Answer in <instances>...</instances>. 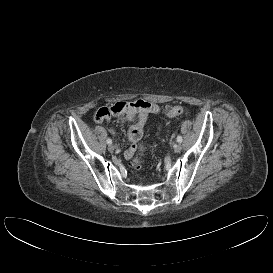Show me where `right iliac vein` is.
<instances>
[{"label":"right iliac vein","mask_w":273,"mask_h":273,"mask_svg":"<svg viewBox=\"0 0 273 273\" xmlns=\"http://www.w3.org/2000/svg\"><path fill=\"white\" fill-rule=\"evenodd\" d=\"M108 150H109L110 152H114L115 146H114L113 144H110V145L108 146Z\"/></svg>","instance_id":"right-iliac-vein-1"}]
</instances>
